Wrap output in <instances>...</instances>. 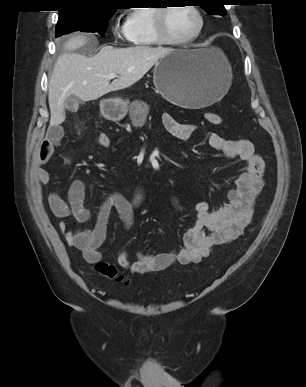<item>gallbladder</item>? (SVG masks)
Listing matches in <instances>:
<instances>
[{
  "label": "gallbladder",
  "mask_w": 306,
  "mask_h": 387,
  "mask_svg": "<svg viewBox=\"0 0 306 387\" xmlns=\"http://www.w3.org/2000/svg\"><path fill=\"white\" fill-rule=\"evenodd\" d=\"M80 103V99L76 96H70L65 101V107L70 111H76L78 108V104Z\"/></svg>",
  "instance_id": "gallbladder-1"
}]
</instances>
